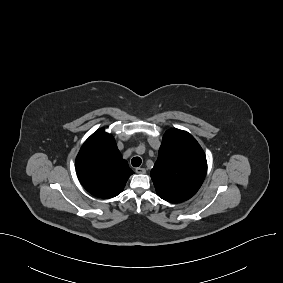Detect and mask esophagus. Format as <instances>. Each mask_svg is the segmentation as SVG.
<instances>
[{"instance_id":"esophagus-1","label":"esophagus","mask_w":283,"mask_h":283,"mask_svg":"<svg viewBox=\"0 0 283 283\" xmlns=\"http://www.w3.org/2000/svg\"><path fill=\"white\" fill-rule=\"evenodd\" d=\"M135 172L138 174H144L146 172L145 168L137 167Z\"/></svg>"}]
</instances>
